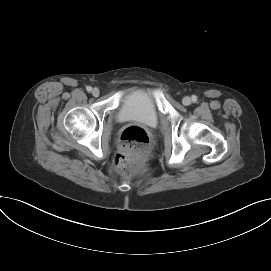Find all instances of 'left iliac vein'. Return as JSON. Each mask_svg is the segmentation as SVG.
Instances as JSON below:
<instances>
[{
  "mask_svg": "<svg viewBox=\"0 0 271 271\" xmlns=\"http://www.w3.org/2000/svg\"><path fill=\"white\" fill-rule=\"evenodd\" d=\"M191 102H192V100H191V98L188 97V96L184 97L183 100H182V103H183L184 105H190Z\"/></svg>",
  "mask_w": 271,
  "mask_h": 271,
  "instance_id": "left-iliac-vein-1",
  "label": "left iliac vein"
}]
</instances>
